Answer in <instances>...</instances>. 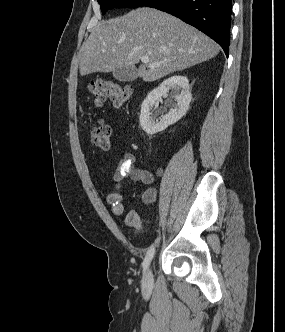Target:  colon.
<instances>
[{
    "label": "colon",
    "instance_id": "5ec220e1",
    "mask_svg": "<svg viewBox=\"0 0 285 332\" xmlns=\"http://www.w3.org/2000/svg\"><path fill=\"white\" fill-rule=\"evenodd\" d=\"M89 91L94 97L97 106L110 100L117 107L124 106L132 96V88L114 80L97 79L90 83ZM111 129L108 125L99 121L90 130L91 144L101 150H107L110 146Z\"/></svg>",
    "mask_w": 285,
    "mask_h": 332
}]
</instances>
